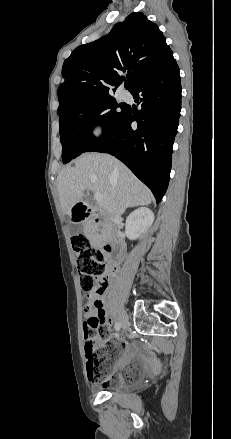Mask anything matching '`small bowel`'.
Listing matches in <instances>:
<instances>
[{"instance_id": "small-bowel-1", "label": "small bowel", "mask_w": 231, "mask_h": 439, "mask_svg": "<svg viewBox=\"0 0 231 439\" xmlns=\"http://www.w3.org/2000/svg\"><path fill=\"white\" fill-rule=\"evenodd\" d=\"M105 292V291H104ZM104 292L102 293H90L87 295L88 303L84 311V331H86L91 326L101 328L106 321V310H105V298ZM95 303L99 306L96 307ZM93 324V325H92ZM101 341L97 342L100 345ZM135 348L131 345H127L123 351V355L116 365V369H124L125 363L134 354Z\"/></svg>"}]
</instances>
